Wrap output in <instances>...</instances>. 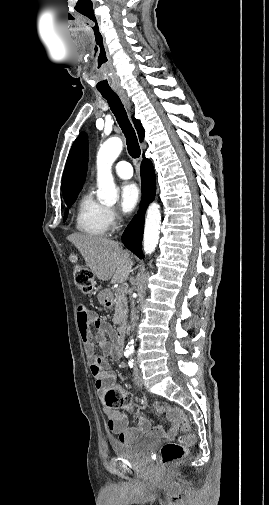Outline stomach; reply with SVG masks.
<instances>
[{
  "instance_id": "obj_1",
  "label": "stomach",
  "mask_w": 269,
  "mask_h": 505,
  "mask_svg": "<svg viewBox=\"0 0 269 505\" xmlns=\"http://www.w3.org/2000/svg\"><path fill=\"white\" fill-rule=\"evenodd\" d=\"M99 302H100V304H101V305H103V306H105V305H106V299L104 298V296H103V293H102V292L99 294Z\"/></svg>"
}]
</instances>
